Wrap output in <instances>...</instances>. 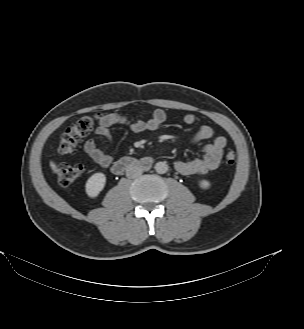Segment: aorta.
I'll return each mask as SVG.
<instances>
[{
  "mask_svg": "<svg viewBox=\"0 0 304 329\" xmlns=\"http://www.w3.org/2000/svg\"><path fill=\"white\" fill-rule=\"evenodd\" d=\"M154 168L157 173L164 174L168 170V165L166 162L160 161L155 164Z\"/></svg>",
  "mask_w": 304,
  "mask_h": 329,
  "instance_id": "762f6f07",
  "label": "aorta"
}]
</instances>
